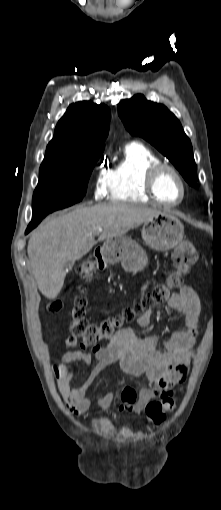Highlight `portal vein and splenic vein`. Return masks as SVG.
I'll list each match as a JSON object with an SVG mask.
<instances>
[{
	"instance_id": "portal-vein-and-splenic-vein-1",
	"label": "portal vein and splenic vein",
	"mask_w": 221,
	"mask_h": 510,
	"mask_svg": "<svg viewBox=\"0 0 221 510\" xmlns=\"http://www.w3.org/2000/svg\"><path fill=\"white\" fill-rule=\"evenodd\" d=\"M99 231H102V229H101V228H99Z\"/></svg>"
}]
</instances>
